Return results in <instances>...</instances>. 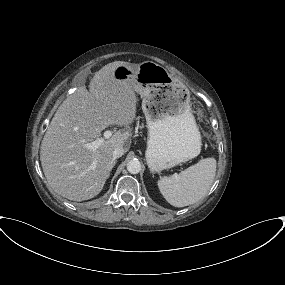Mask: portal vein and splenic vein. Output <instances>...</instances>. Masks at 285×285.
Here are the masks:
<instances>
[{
  "instance_id": "1",
  "label": "portal vein and splenic vein",
  "mask_w": 285,
  "mask_h": 285,
  "mask_svg": "<svg viewBox=\"0 0 285 285\" xmlns=\"http://www.w3.org/2000/svg\"><path fill=\"white\" fill-rule=\"evenodd\" d=\"M103 136L104 137L98 138L93 142L84 144V147L89 150L95 151L97 148H99V146L103 144L105 139H109L112 136V131L106 130Z\"/></svg>"
}]
</instances>
